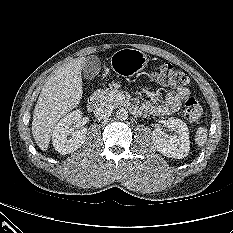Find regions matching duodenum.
Wrapping results in <instances>:
<instances>
[{
  "label": "duodenum",
  "instance_id": "410a0bca",
  "mask_svg": "<svg viewBox=\"0 0 233 233\" xmlns=\"http://www.w3.org/2000/svg\"><path fill=\"white\" fill-rule=\"evenodd\" d=\"M98 97L96 95H92L88 98V101H87V108L89 111H92L94 110L97 106H98ZM134 111H137L138 109L137 108H133Z\"/></svg>",
  "mask_w": 233,
  "mask_h": 233
}]
</instances>
